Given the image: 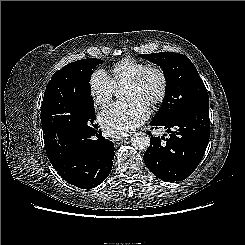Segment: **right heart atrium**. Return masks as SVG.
Masks as SVG:
<instances>
[{
  "label": "right heart atrium",
  "instance_id": "1",
  "mask_svg": "<svg viewBox=\"0 0 245 245\" xmlns=\"http://www.w3.org/2000/svg\"><path fill=\"white\" fill-rule=\"evenodd\" d=\"M88 85L95 107H104L113 98L115 87L104 71L95 70L89 78Z\"/></svg>",
  "mask_w": 245,
  "mask_h": 245
}]
</instances>
